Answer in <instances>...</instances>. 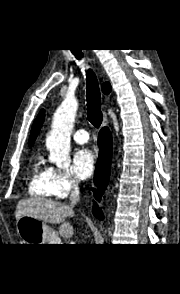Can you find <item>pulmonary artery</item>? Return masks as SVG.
I'll use <instances>...</instances> for the list:
<instances>
[{
    "instance_id": "1",
    "label": "pulmonary artery",
    "mask_w": 180,
    "mask_h": 294,
    "mask_svg": "<svg viewBox=\"0 0 180 294\" xmlns=\"http://www.w3.org/2000/svg\"><path fill=\"white\" fill-rule=\"evenodd\" d=\"M73 139L75 140V142L80 143V144H84L86 142H88L89 140V135L87 133V131L80 129L77 130L74 134H73Z\"/></svg>"
}]
</instances>
